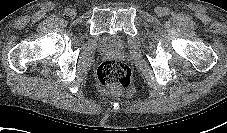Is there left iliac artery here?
I'll use <instances>...</instances> for the list:
<instances>
[{
    "label": "left iliac artery",
    "instance_id": "1",
    "mask_svg": "<svg viewBox=\"0 0 227 133\" xmlns=\"http://www.w3.org/2000/svg\"><path fill=\"white\" fill-rule=\"evenodd\" d=\"M164 11H165V15H168L170 13L168 8H166Z\"/></svg>",
    "mask_w": 227,
    "mask_h": 133
}]
</instances>
